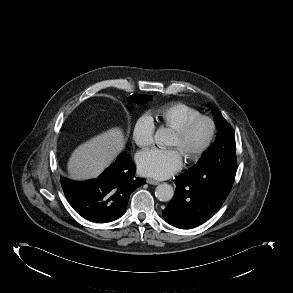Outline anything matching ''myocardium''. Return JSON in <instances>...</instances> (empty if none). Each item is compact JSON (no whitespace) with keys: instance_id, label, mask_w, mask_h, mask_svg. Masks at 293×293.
Listing matches in <instances>:
<instances>
[{"instance_id":"f54148a6","label":"myocardium","mask_w":293,"mask_h":293,"mask_svg":"<svg viewBox=\"0 0 293 293\" xmlns=\"http://www.w3.org/2000/svg\"><path fill=\"white\" fill-rule=\"evenodd\" d=\"M202 122H205L208 124L209 134H208L206 141L199 149H197L196 151H193V152L183 153L184 156L188 160H191V161L197 160L200 157H202L212 146V144L215 140V137H216V133H217V125H216L215 121L209 116L200 115V116L190 120L183 127L179 128L178 130L175 131V134L180 139H186L193 132V130Z\"/></svg>"}]
</instances>
